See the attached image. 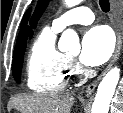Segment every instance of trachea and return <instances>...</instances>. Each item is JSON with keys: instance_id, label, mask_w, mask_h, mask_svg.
Masks as SVG:
<instances>
[{"instance_id": "3493384b", "label": "trachea", "mask_w": 123, "mask_h": 113, "mask_svg": "<svg viewBox=\"0 0 123 113\" xmlns=\"http://www.w3.org/2000/svg\"><path fill=\"white\" fill-rule=\"evenodd\" d=\"M99 4L103 12H109L110 10L109 0H100Z\"/></svg>"}]
</instances>
